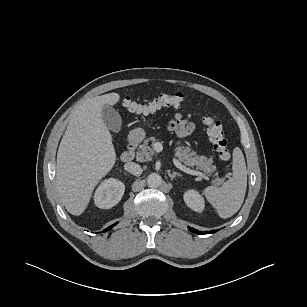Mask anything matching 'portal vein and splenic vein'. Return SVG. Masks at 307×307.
<instances>
[{
    "instance_id": "obj_1",
    "label": "portal vein and splenic vein",
    "mask_w": 307,
    "mask_h": 307,
    "mask_svg": "<svg viewBox=\"0 0 307 307\" xmlns=\"http://www.w3.org/2000/svg\"><path fill=\"white\" fill-rule=\"evenodd\" d=\"M156 147H158L159 149L162 148V145L160 143H157L155 145ZM173 161V164L179 168L181 171L187 173V174H190V175H194V176H201V177H204V178H208V175L200 172V171H196V170H192L186 166H184L180 161H178L175 157L172 159Z\"/></svg>"
}]
</instances>
